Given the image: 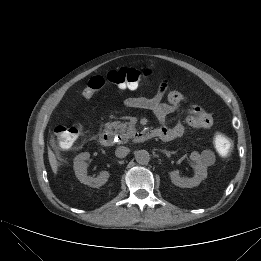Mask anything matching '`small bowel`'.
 Listing matches in <instances>:
<instances>
[{
    "label": "small bowel",
    "mask_w": 261,
    "mask_h": 261,
    "mask_svg": "<svg viewBox=\"0 0 261 261\" xmlns=\"http://www.w3.org/2000/svg\"><path fill=\"white\" fill-rule=\"evenodd\" d=\"M121 90H135L138 85L118 86ZM168 87V80L163 79L156 93L151 97H130L123 101L126 108H137L152 111L162 126L156 129L157 137L163 141H172L180 138L185 132V126L177 123L173 126L167 125L168 116L175 112L181 105L187 103L185 96L172 91L164 100ZM186 124L196 130H209L213 126V117L196 105H189V113L186 117Z\"/></svg>",
    "instance_id": "small-bowel-1"
}]
</instances>
